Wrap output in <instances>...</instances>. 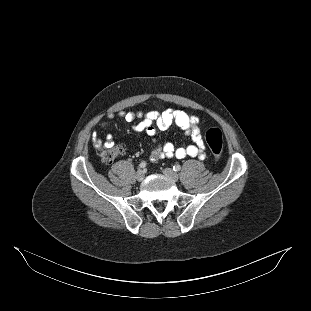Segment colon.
Returning <instances> with one entry per match:
<instances>
[{
  "label": "colon",
  "mask_w": 311,
  "mask_h": 311,
  "mask_svg": "<svg viewBox=\"0 0 311 311\" xmlns=\"http://www.w3.org/2000/svg\"><path fill=\"white\" fill-rule=\"evenodd\" d=\"M206 142L211 149L214 157L219 159L222 154L223 137L218 128H208L205 133ZM120 145H103L97 150L98 155L105 163H112L122 154Z\"/></svg>",
  "instance_id": "1"
}]
</instances>
